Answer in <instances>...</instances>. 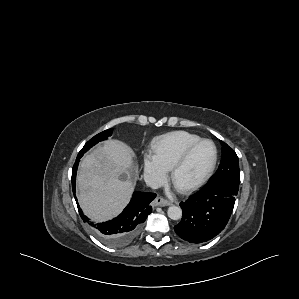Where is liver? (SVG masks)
<instances>
[{
	"label": "liver",
	"instance_id": "6515ba94",
	"mask_svg": "<svg viewBox=\"0 0 299 299\" xmlns=\"http://www.w3.org/2000/svg\"><path fill=\"white\" fill-rule=\"evenodd\" d=\"M135 172L131 149L119 140H108L81 161L78 201L86 216L106 221L127 205L134 190Z\"/></svg>",
	"mask_w": 299,
	"mask_h": 299
}]
</instances>
